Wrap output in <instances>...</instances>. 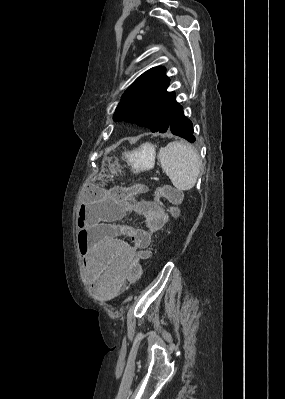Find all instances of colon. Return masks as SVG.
I'll return each instance as SVG.
<instances>
[{"label":"colon","mask_w":285,"mask_h":399,"mask_svg":"<svg viewBox=\"0 0 285 399\" xmlns=\"http://www.w3.org/2000/svg\"><path fill=\"white\" fill-rule=\"evenodd\" d=\"M102 179L103 177L101 176H95L91 178L88 183L89 187L92 189H98V190L101 189ZM148 191L149 188L145 184H138L133 187H123L115 185L110 189H108L106 192L111 199L124 200ZM154 195L155 197L162 198L172 204L178 203L181 198L180 191L171 185L157 186L154 190ZM142 273H143V266L141 258H137L134 260L130 268V276L133 279H138L142 276Z\"/></svg>","instance_id":"5ec220e1"}]
</instances>
